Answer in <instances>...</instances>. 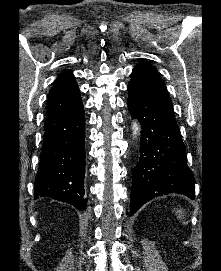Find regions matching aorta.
Masks as SVG:
<instances>
[{"mask_svg":"<svg viewBox=\"0 0 221 271\" xmlns=\"http://www.w3.org/2000/svg\"><path fill=\"white\" fill-rule=\"evenodd\" d=\"M132 129H133V134L134 135H137L139 133V131H140L139 125L136 122L133 123Z\"/></svg>","mask_w":221,"mask_h":271,"instance_id":"obj_1","label":"aorta"}]
</instances>
